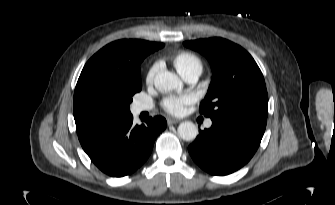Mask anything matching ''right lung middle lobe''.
Segmentation results:
<instances>
[{"instance_id":"obj_1","label":"right lung middle lobe","mask_w":335,"mask_h":205,"mask_svg":"<svg viewBox=\"0 0 335 205\" xmlns=\"http://www.w3.org/2000/svg\"><path fill=\"white\" fill-rule=\"evenodd\" d=\"M140 64L141 62L136 68L134 78L120 94L113 97H103L96 101L95 105L99 111L106 112L115 109L119 110L122 115L130 114L129 106L132 102V96L142 89Z\"/></svg>"}]
</instances>
